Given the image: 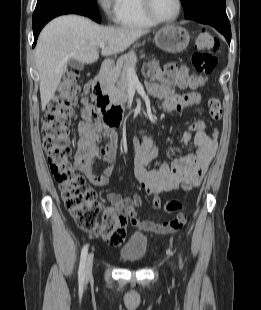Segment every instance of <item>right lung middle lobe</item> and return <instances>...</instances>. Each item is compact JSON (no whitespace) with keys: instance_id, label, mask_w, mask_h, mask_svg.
Listing matches in <instances>:
<instances>
[{"instance_id":"right-lung-middle-lobe-1","label":"right lung middle lobe","mask_w":261,"mask_h":310,"mask_svg":"<svg viewBox=\"0 0 261 310\" xmlns=\"http://www.w3.org/2000/svg\"><path fill=\"white\" fill-rule=\"evenodd\" d=\"M54 12L80 14L101 22L96 0H37L32 22Z\"/></svg>"}]
</instances>
